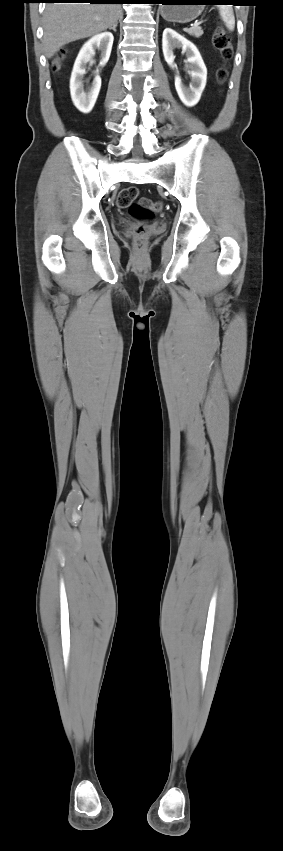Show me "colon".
<instances>
[{"label":"colon","instance_id":"1","mask_svg":"<svg viewBox=\"0 0 283 851\" xmlns=\"http://www.w3.org/2000/svg\"><path fill=\"white\" fill-rule=\"evenodd\" d=\"M212 43L216 50L220 53L224 62H228L233 56V46L230 33L223 25H218L212 36ZM67 51L62 49L57 58L53 62V68L58 70L61 67V62L65 58ZM227 77L226 67H222L217 71V79L219 82L225 81ZM139 190L135 186L122 189L116 199V204L121 209H128L130 214L135 218H149L153 211L160 210L162 203L153 201L147 198L140 199L135 202L138 197ZM148 238V228L144 225L138 226L135 230L134 245L136 249L141 250Z\"/></svg>","mask_w":283,"mask_h":851}]
</instances>
